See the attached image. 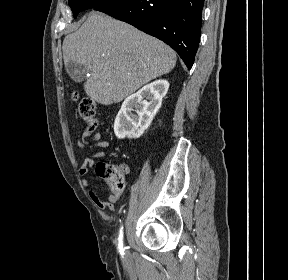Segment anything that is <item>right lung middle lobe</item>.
Listing matches in <instances>:
<instances>
[{"mask_svg": "<svg viewBox=\"0 0 288 280\" xmlns=\"http://www.w3.org/2000/svg\"><path fill=\"white\" fill-rule=\"evenodd\" d=\"M110 1L112 0H69V6L73 11L74 17H77L80 11L95 8Z\"/></svg>", "mask_w": 288, "mask_h": 280, "instance_id": "1", "label": "right lung middle lobe"}]
</instances>
